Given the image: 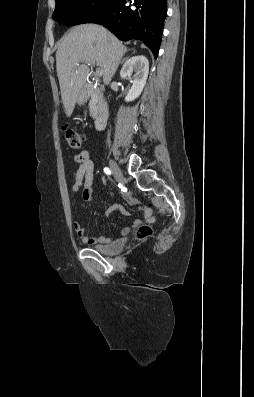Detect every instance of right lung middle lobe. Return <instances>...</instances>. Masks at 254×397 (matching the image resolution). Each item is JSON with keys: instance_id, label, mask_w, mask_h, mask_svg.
I'll return each instance as SVG.
<instances>
[{"instance_id": "obj_1", "label": "right lung middle lobe", "mask_w": 254, "mask_h": 397, "mask_svg": "<svg viewBox=\"0 0 254 397\" xmlns=\"http://www.w3.org/2000/svg\"><path fill=\"white\" fill-rule=\"evenodd\" d=\"M114 0H56L53 19L66 25L90 22L106 11Z\"/></svg>"}]
</instances>
